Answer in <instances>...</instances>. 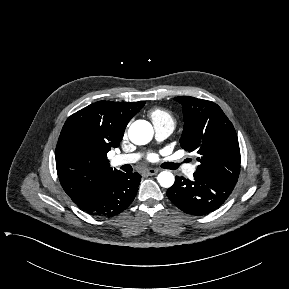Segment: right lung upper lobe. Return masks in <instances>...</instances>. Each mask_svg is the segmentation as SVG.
I'll list each match as a JSON object with an SVG mask.
<instances>
[{
	"instance_id": "right-lung-upper-lobe-1",
	"label": "right lung upper lobe",
	"mask_w": 289,
	"mask_h": 289,
	"mask_svg": "<svg viewBox=\"0 0 289 289\" xmlns=\"http://www.w3.org/2000/svg\"><path fill=\"white\" fill-rule=\"evenodd\" d=\"M144 104L98 101L67 119L55 158L60 183L73 202L120 172L112 170L107 153L119 146L128 122Z\"/></svg>"
}]
</instances>
